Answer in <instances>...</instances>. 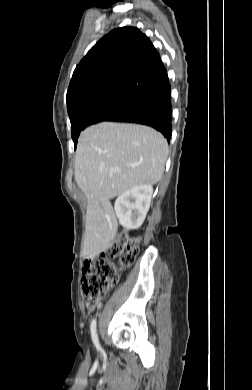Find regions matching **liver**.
I'll return each mask as SVG.
<instances>
[{"label": "liver", "instance_id": "obj_1", "mask_svg": "<svg viewBox=\"0 0 252 390\" xmlns=\"http://www.w3.org/2000/svg\"><path fill=\"white\" fill-rule=\"evenodd\" d=\"M168 144L156 130L135 124L102 122L79 136L75 180L87 198L82 256L94 259L112 244L118 229L110 199L162 177Z\"/></svg>", "mask_w": 252, "mask_h": 390}]
</instances>
